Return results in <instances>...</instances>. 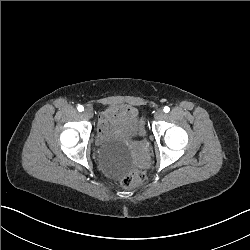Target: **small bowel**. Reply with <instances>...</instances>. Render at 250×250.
<instances>
[{"label":"small bowel","instance_id":"small-bowel-1","mask_svg":"<svg viewBox=\"0 0 250 250\" xmlns=\"http://www.w3.org/2000/svg\"><path fill=\"white\" fill-rule=\"evenodd\" d=\"M135 112V109L133 107L124 106V107H114L112 108L108 113L104 114L100 120V126L98 131L100 133L106 131L109 128V125L107 123L106 117L110 113H117V114H128L133 115Z\"/></svg>","mask_w":250,"mask_h":250}]
</instances>
